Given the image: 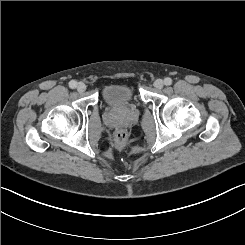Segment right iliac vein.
<instances>
[{
	"label": "right iliac vein",
	"instance_id": "63e3f726",
	"mask_svg": "<svg viewBox=\"0 0 245 245\" xmlns=\"http://www.w3.org/2000/svg\"><path fill=\"white\" fill-rule=\"evenodd\" d=\"M78 92L82 93L86 90V85L82 82L78 83L76 86Z\"/></svg>",
	"mask_w": 245,
	"mask_h": 245
}]
</instances>
